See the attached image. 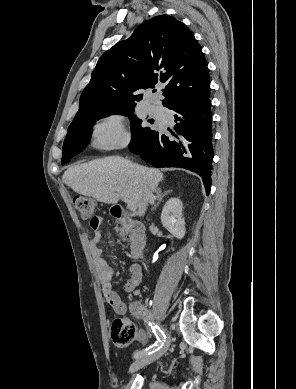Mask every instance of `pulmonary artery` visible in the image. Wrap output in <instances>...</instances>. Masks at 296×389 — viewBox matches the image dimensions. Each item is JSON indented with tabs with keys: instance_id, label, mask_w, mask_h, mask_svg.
Returning <instances> with one entry per match:
<instances>
[{
	"instance_id": "pulmonary-artery-1",
	"label": "pulmonary artery",
	"mask_w": 296,
	"mask_h": 389,
	"mask_svg": "<svg viewBox=\"0 0 296 389\" xmlns=\"http://www.w3.org/2000/svg\"><path fill=\"white\" fill-rule=\"evenodd\" d=\"M149 110L151 113L155 114V115H160L162 114V109L157 106V105H150L149 106Z\"/></svg>"
}]
</instances>
